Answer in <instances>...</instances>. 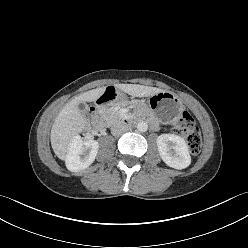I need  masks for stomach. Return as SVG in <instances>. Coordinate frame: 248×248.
I'll return each instance as SVG.
<instances>
[{
  "label": "stomach",
  "instance_id": "obj_1",
  "mask_svg": "<svg viewBox=\"0 0 248 248\" xmlns=\"http://www.w3.org/2000/svg\"><path fill=\"white\" fill-rule=\"evenodd\" d=\"M147 106L152 114L165 123L172 122L182 111L181 100L167 91L150 96Z\"/></svg>",
  "mask_w": 248,
  "mask_h": 248
}]
</instances>
